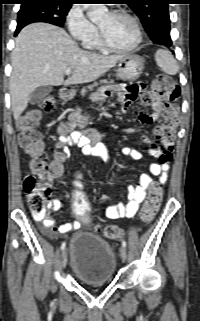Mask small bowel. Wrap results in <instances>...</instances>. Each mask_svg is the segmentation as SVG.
<instances>
[{
  "mask_svg": "<svg viewBox=\"0 0 200 321\" xmlns=\"http://www.w3.org/2000/svg\"><path fill=\"white\" fill-rule=\"evenodd\" d=\"M147 83L141 82H124L122 86H117L107 91L106 95L118 93L121 100L125 102V108H128L131 103L136 100L137 96H144L145 90H147ZM120 102L119 100L117 101ZM153 113L148 114L144 111L139 113L140 121L143 124L150 125L153 122L165 117V108L162 104L152 103ZM74 119L66 124L60 131L58 137V143L54 149V162L59 166L60 172L58 176H61L63 167L62 163L66 158L64 151L65 146H76L82 150V153L86 156H101L107 157L108 153L101 144V140L106 136L105 132H99L94 129H84L78 131L74 129ZM157 138L159 135V126L154 130ZM142 141L148 145L147 153L154 157L156 161L152 162L149 166V173H143L139 177L137 185H129L127 187V201L126 203H116L110 205L105 210V216L108 219L116 220L121 218H133L140 204L145 200L147 191L153 184L152 176L158 177L161 184L165 183L168 179L169 161L167 157L168 144L162 140L164 148L162 149L155 141L151 140L148 136L143 135ZM173 151V144H171ZM122 153L134 160H139L142 157V153L133 147H124ZM79 187V186H77ZM61 206L59 198H53L47 201V207L51 210H58ZM37 220L42 223V231L47 235H53L55 233H67L72 230H76L80 227V222L71 221L64 223L60 226H56L54 218L47 214L43 217H36Z\"/></svg>",
  "mask_w": 200,
  "mask_h": 321,
  "instance_id": "obj_1",
  "label": "small bowel"
}]
</instances>
